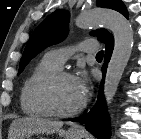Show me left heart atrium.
Returning <instances> with one entry per match:
<instances>
[{
    "mask_svg": "<svg viewBox=\"0 0 141 139\" xmlns=\"http://www.w3.org/2000/svg\"><path fill=\"white\" fill-rule=\"evenodd\" d=\"M75 80H76L78 91L81 97L84 99L88 92V82H89L88 76L86 73H82L80 76L75 77Z\"/></svg>",
    "mask_w": 141,
    "mask_h": 139,
    "instance_id": "obj_1",
    "label": "left heart atrium"
}]
</instances>
